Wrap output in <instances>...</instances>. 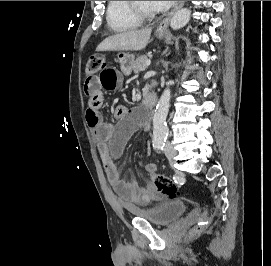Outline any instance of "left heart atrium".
<instances>
[{"label": "left heart atrium", "mask_w": 271, "mask_h": 266, "mask_svg": "<svg viewBox=\"0 0 271 266\" xmlns=\"http://www.w3.org/2000/svg\"><path fill=\"white\" fill-rule=\"evenodd\" d=\"M175 1H150L153 11H162L173 5Z\"/></svg>", "instance_id": "obj_1"}]
</instances>
